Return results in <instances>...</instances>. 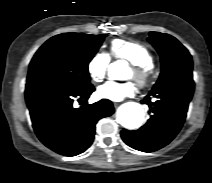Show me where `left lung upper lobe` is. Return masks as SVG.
<instances>
[{
    "instance_id": "5c2ea615",
    "label": "left lung upper lobe",
    "mask_w": 212,
    "mask_h": 183,
    "mask_svg": "<svg viewBox=\"0 0 212 183\" xmlns=\"http://www.w3.org/2000/svg\"><path fill=\"white\" fill-rule=\"evenodd\" d=\"M161 57V74L156 86L185 73H192L193 62L188 50L173 36L150 32L147 39Z\"/></svg>"
}]
</instances>
